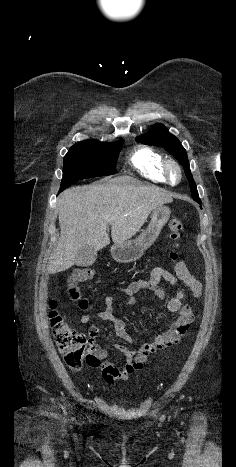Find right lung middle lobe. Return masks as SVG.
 Listing matches in <instances>:
<instances>
[{
  "label": "right lung middle lobe",
  "instance_id": "right-lung-middle-lobe-1",
  "mask_svg": "<svg viewBox=\"0 0 236 467\" xmlns=\"http://www.w3.org/2000/svg\"><path fill=\"white\" fill-rule=\"evenodd\" d=\"M124 140L109 144L86 140L74 144L64 157L61 189L83 178L112 175Z\"/></svg>",
  "mask_w": 236,
  "mask_h": 467
}]
</instances>
